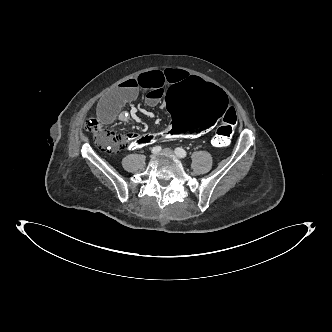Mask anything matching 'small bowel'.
Wrapping results in <instances>:
<instances>
[{
	"label": "small bowel",
	"mask_w": 332,
	"mask_h": 332,
	"mask_svg": "<svg viewBox=\"0 0 332 332\" xmlns=\"http://www.w3.org/2000/svg\"><path fill=\"white\" fill-rule=\"evenodd\" d=\"M191 78L195 77L185 70L176 68L150 70L141 73L134 78L122 82L116 88L105 94L97 105L96 116L100 121L105 123L111 122L116 118L127 122L129 118L124 113H120V111L125 104L137 97L140 90L147 92L145 99L146 104L148 106H155L163 98L166 88ZM139 113L148 114L144 109H135V115ZM139 130L143 132L146 131V126L139 127ZM198 136L189 137L195 138Z\"/></svg>",
	"instance_id": "c3829d8e"
}]
</instances>
